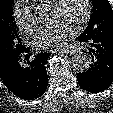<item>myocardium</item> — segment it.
Segmentation results:
<instances>
[{"instance_id":"myocardium-1","label":"myocardium","mask_w":113,"mask_h":113,"mask_svg":"<svg viewBox=\"0 0 113 113\" xmlns=\"http://www.w3.org/2000/svg\"><path fill=\"white\" fill-rule=\"evenodd\" d=\"M62 2H63V0H53L50 3V8H53V9L58 8ZM84 4H85L84 14H83L82 18L75 25L76 29L82 28L88 22V20L90 19L91 13H92L91 0H84Z\"/></svg>"}]
</instances>
